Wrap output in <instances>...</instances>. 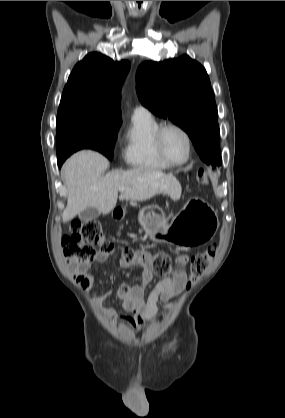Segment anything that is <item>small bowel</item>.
Segmentation results:
<instances>
[{
  "mask_svg": "<svg viewBox=\"0 0 285 418\" xmlns=\"http://www.w3.org/2000/svg\"><path fill=\"white\" fill-rule=\"evenodd\" d=\"M108 259L105 250H99L95 256V262L102 264ZM190 256L180 255L176 258L177 270L173 277L160 280L149 295L145 298L146 286L153 278V259L145 252H139L133 259L127 260L124 256L119 257V265L124 269L133 267L141 268L139 282L136 285L123 284L119 287L117 296L122 309L129 314L125 320L133 328H139L151 321L158 311V303L165 302L164 309L168 310L173 306L174 299L183 291L187 278L181 270L180 265L189 262ZM69 267L74 273L85 272L91 278L90 288L94 287V277L89 274L91 265H83L76 260L68 259Z\"/></svg>",
  "mask_w": 285,
  "mask_h": 418,
  "instance_id": "obj_1",
  "label": "small bowel"
}]
</instances>
